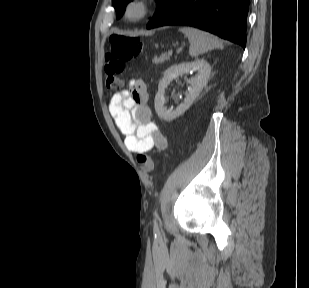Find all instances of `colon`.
Listing matches in <instances>:
<instances>
[{
	"label": "colon",
	"mask_w": 309,
	"mask_h": 288,
	"mask_svg": "<svg viewBox=\"0 0 309 288\" xmlns=\"http://www.w3.org/2000/svg\"><path fill=\"white\" fill-rule=\"evenodd\" d=\"M142 50L143 42L138 38L124 35L111 36L105 55L106 87L108 89L118 90L124 85L125 63L138 56ZM137 162L145 170L153 168V161L145 152L137 155Z\"/></svg>",
	"instance_id": "colon-1"
}]
</instances>
